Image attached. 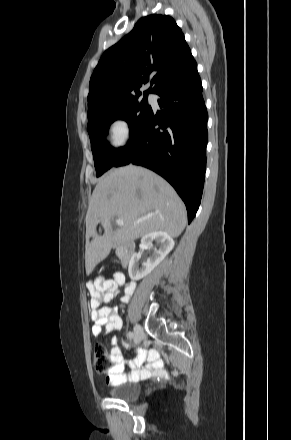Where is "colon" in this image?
Instances as JSON below:
<instances>
[{"label": "colon", "mask_w": 291, "mask_h": 440, "mask_svg": "<svg viewBox=\"0 0 291 440\" xmlns=\"http://www.w3.org/2000/svg\"><path fill=\"white\" fill-rule=\"evenodd\" d=\"M109 356L103 344H97L93 350V363L99 373H107L109 370Z\"/></svg>", "instance_id": "5ec220e1"}]
</instances>
